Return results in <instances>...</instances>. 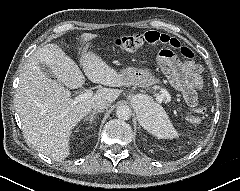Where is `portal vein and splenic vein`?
<instances>
[{"instance_id": "1", "label": "portal vein and splenic vein", "mask_w": 240, "mask_h": 191, "mask_svg": "<svg viewBox=\"0 0 240 191\" xmlns=\"http://www.w3.org/2000/svg\"><path fill=\"white\" fill-rule=\"evenodd\" d=\"M93 95V91L92 90H87L86 92L79 94L77 97H75L74 99H72V105L77 104L78 102L87 100L89 98H91Z\"/></svg>"}]
</instances>
